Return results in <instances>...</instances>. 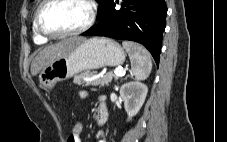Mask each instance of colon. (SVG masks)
Here are the masks:
<instances>
[{
  "label": "colon",
  "instance_id": "colon-1",
  "mask_svg": "<svg viewBox=\"0 0 227 142\" xmlns=\"http://www.w3.org/2000/svg\"><path fill=\"white\" fill-rule=\"evenodd\" d=\"M83 134V123L80 120H76L73 124L70 135L74 138H80Z\"/></svg>",
  "mask_w": 227,
  "mask_h": 142
}]
</instances>
